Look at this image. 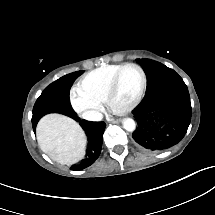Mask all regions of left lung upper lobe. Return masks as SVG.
Listing matches in <instances>:
<instances>
[{
  "mask_svg": "<svg viewBox=\"0 0 215 215\" xmlns=\"http://www.w3.org/2000/svg\"><path fill=\"white\" fill-rule=\"evenodd\" d=\"M147 76L146 94L134 111L138 128L134 140L144 149L165 150L178 144L191 121V103L186 84L172 69L158 62L139 59ZM165 115L171 123L163 129L150 126L152 115Z\"/></svg>",
  "mask_w": 215,
  "mask_h": 215,
  "instance_id": "obj_1",
  "label": "left lung upper lobe"
}]
</instances>
